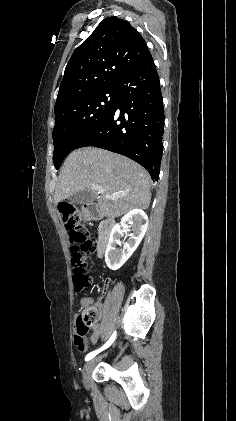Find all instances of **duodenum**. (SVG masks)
<instances>
[{
  "instance_id": "obj_1",
  "label": "duodenum",
  "mask_w": 236,
  "mask_h": 421,
  "mask_svg": "<svg viewBox=\"0 0 236 421\" xmlns=\"http://www.w3.org/2000/svg\"><path fill=\"white\" fill-rule=\"evenodd\" d=\"M83 211L86 220H101L99 226L97 251L98 255L102 256L113 234L115 220L112 217H103L100 214L97 206L92 203L85 204ZM103 331L104 329L102 326L93 338V342H96L98 340Z\"/></svg>"
}]
</instances>
